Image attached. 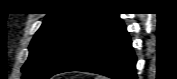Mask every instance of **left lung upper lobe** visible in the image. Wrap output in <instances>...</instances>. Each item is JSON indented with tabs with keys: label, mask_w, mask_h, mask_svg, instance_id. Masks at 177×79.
<instances>
[{
	"label": "left lung upper lobe",
	"mask_w": 177,
	"mask_h": 79,
	"mask_svg": "<svg viewBox=\"0 0 177 79\" xmlns=\"http://www.w3.org/2000/svg\"><path fill=\"white\" fill-rule=\"evenodd\" d=\"M108 14L91 11L47 14L29 46L22 70L26 79H49L74 46Z\"/></svg>",
	"instance_id": "5c2ea615"
}]
</instances>
